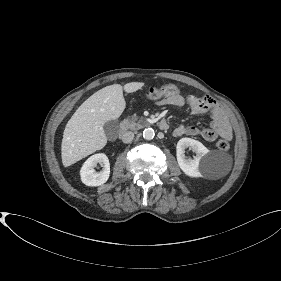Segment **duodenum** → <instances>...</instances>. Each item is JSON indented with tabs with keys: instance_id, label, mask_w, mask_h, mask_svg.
I'll return each instance as SVG.
<instances>
[{
	"instance_id": "obj_1",
	"label": "duodenum",
	"mask_w": 281,
	"mask_h": 281,
	"mask_svg": "<svg viewBox=\"0 0 281 281\" xmlns=\"http://www.w3.org/2000/svg\"><path fill=\"white\" fill-rule=\"evenodd\" d=\"M158 126L161 130H167L168 129V123L165 120H161L158 123ZM127 124L125 122L121 123L120 125V132L124 133L127 130Z\"/></svg>"
}]
</instances>
